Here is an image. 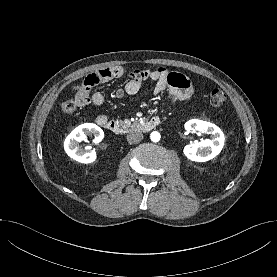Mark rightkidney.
<instances>
[{"mask_svg": "<svg viewBox=\"0 0 277 277\" xmlns=\"http://www.w3.org/2000/svg\"><path fill=\"white\" fill-rule=\"evenodd\" d=\"M87 134L94 135V143H99L104 137L103 130L93 123H85L76 127L65 139L64 149L72 159L88 164L96 160L95 150L85 151L78 147V142L86 139Z\"/></svg>", "mask_w": 277, "mask_h": 277, "instance_id": "1", "label": "right kidney"}]
</instances>
